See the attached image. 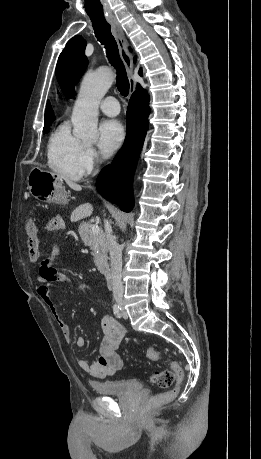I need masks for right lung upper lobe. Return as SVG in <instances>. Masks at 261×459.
<instances>
[{
	"instance_id": "obj_1",
	"label": "right lung upper lobe",
	"mask_w": 261,
	"mask_h": 459,
	"mask_svg": "<svg viewBox=\"0 0 261 459\" xmlns=\"http://www.w3.org/2000/svg\"><path fill=\"white\" fill-rule=\"evenodd\" d=\"M139 74L142 76V70H139ZM137 89H142L141 86L138 84ZM54 119L52 109L50 107V103L48 102L47 107H46V113H45V124H50L51 121Z\"/></svg>"
}]
</instances>
